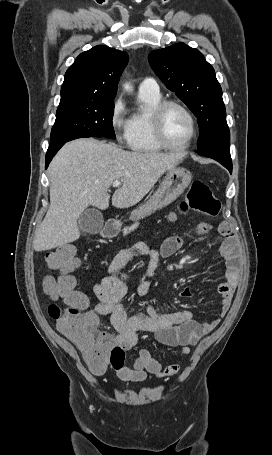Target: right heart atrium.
Instances as JSON below:
<instances>
[{
  "mask_svg": "<svg viewBox=\"0 0 272 455\" xmlns=\"http://www.w3.org/2000/svg\"><path fill=\"white\" fill-rule=\"evenodd\" d=\"M126 107L121 98L114 101L111 114L110 125L119 142H127L129 120L125 118Z\"/></svg>",
  "mask_w": 272,
  "mask_h": 455,
  "instance_id": "1",
  "label": "right heart atrium"
}]
</instances>
